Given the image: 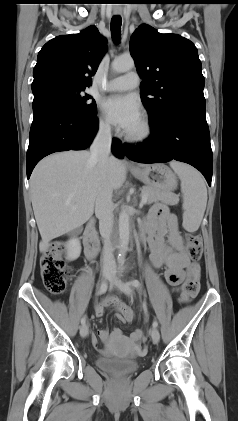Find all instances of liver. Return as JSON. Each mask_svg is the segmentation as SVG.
Returning a JSON list of instances; mask_svg holds the SVG:
<instances>
[{"instance_id":"1","label":"liver","mask_w":238,"mask_h":421,"mask_svg":"<svg viewBox=\"0 0 238 421\" xmlns=\"http://www.w3.org/2000/svg\"><path fill=\"white\" fill-rule=\"evenodd\" d=\"M125 179L124 163L113 156L105 174L90 162V152L85 150L59 152L41 160L30 178L32 207L42 238L40 251L46 252L51 240L91 218L103 184L118 190Z\"/></svg>"}]
</instances>
